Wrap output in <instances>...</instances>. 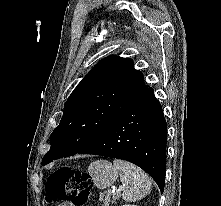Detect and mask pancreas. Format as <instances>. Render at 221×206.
<instances>
[{
	"label": "pancreas",
	"mask_w": 221,
	"mask_h": 206,
	"mask_svg": "<svg viewBox=\"0 0 221 206\" xmlns=\"http://www.w3.org/2000/svg\"><path fill=\"white\" fill-rule=\"evenodd\" d=\"M120 197V194L118 192L113 193V197L111 198V194H107L106 196L104 194H101L99 196V201L103 203L104 206H109L110 203L114 204L116 203V200Z\"/></svg>",
	"instance_id": "1"
}]
</instances>
